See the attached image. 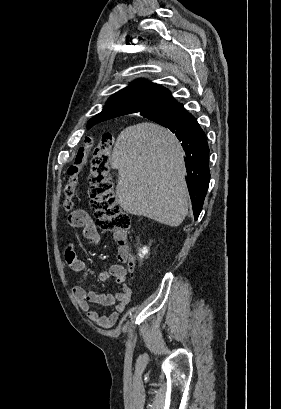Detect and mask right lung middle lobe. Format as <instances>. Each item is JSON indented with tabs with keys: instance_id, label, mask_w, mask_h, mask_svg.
<instances>
[{
	"instance_id": "obj_1",
	"label": "right lung middle lobe",
	"mask_w": 281,
	"mask_h": 409,
	"mask_svg": "<svg viewBox=\"0 0 281 409\" xmlns=\"http://www.w3.org/2000/svg\"><path fill=\"white\" fill-rule=\"evenodd\" d=\"M151 120L158 123V124H160V125H162V126H164V127H167V126L177 122L178 118L167 116V117L153 118Z\"/></svg>"
}]
</instances>
